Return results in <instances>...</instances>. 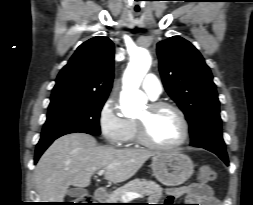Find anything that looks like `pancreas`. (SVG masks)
Here are the masks:
<instances>
[{
    "mask_svg": "<svg viewBox=\"0 0 253 205\" xmlns=\"http://www.w3.org/2000/svg\"><path fill=\"white\" fill-rule=\"evenodd\" d=\"M125 192H135L142 196H148L151 201H158L162 197V188L154 181L134 179L121 188L116 189L109 198L110 203H125L122 195Z\"/></svg>",
    "mask_w": 253,
    "mask_h": 205,
    "instance_id": "obj_1",
    "label": "pancreas"
}]
</instances>
